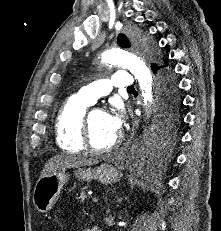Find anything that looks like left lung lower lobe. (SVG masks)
<instances>
[{
  "label": "left lung lower lobe",
  "mask_w": 221,
  "mask_h": 231,
  "mask_svg": "<svg viewBox=\"0 0 221 231\" xmlns=\"http://www.w3.org/2000/svg\"><path fill=\"white\" fill-rule=\"evenodd\" d=\"M168 66V59H164V65L158 66L156 64H152V70L154 73H157V82L160 92V99L158 104V112L157 117H165L167 114H169L172 111V107L175 103H179L178 97H177V83L174 78L173 71L170 68H166ZM163 130H158V132H161ZM158 135V134H157ZM156 141L157 138H153V141ZM154 142H151V146L155 144ZM149 152H152L150 148L148 150H143L140 155L146 156V154Z\"/></svg>",
  "instance_id": "left-lung-lower-lobe-1"
}]
</instances>
